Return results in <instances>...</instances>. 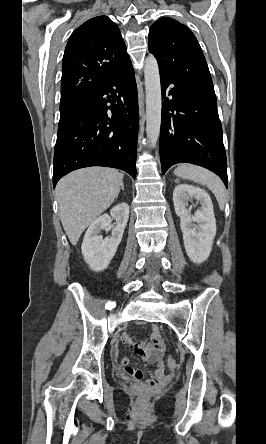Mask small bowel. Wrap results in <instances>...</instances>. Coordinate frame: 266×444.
I'll use <instances>...</instances> for the list:
<instances>
[{"label": "small bowel", "mask_w": 266, "mask_h": 444, "mask_svg": "<svg viewBox=\"0 0 266 444\" xmlns=\"http://www.w3.org/2000/svg\"><path fill=\"white\" fill-rule=\"evenodd\" d=\"M123 343H131V339L128 336L122 337ZM134 351L137 355L149 365L154 366V371L151 377L145 380V384L148 386H155L161 382L165 375V365L162 360L164 343L157 326L152 327V334L149 343H133ZM118 369L128 376L133 381L141 382L143 379V373L140 369L132 367L129 364V359L123 357L117 365Z\"/></svg>", "instance_id": "c3829d8e"}]
</instances>
